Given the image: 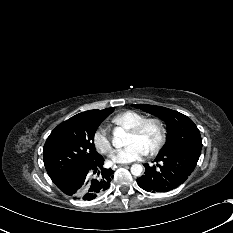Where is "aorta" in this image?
<instances>
[{"instance_id":"1","label":"aorta","mask_w":233,"mask_h":233,"mask_svg":"<svg viewBox=\"0 0 233 233\" xmlns=\"http://www.w3.org/2000/svg\"><path fill=\"white\" fill-rule=\"evenodd\" d=\"M114 138H113V146L116 147V148H119L121 146H123V141L122 139L125 137L126 133L125 131L120 128V127H117L115 130H114ZM143 171V167L142 165L140 164H133L131 166V173L134 175V176H140L141 173Z\"/></svg>"}]
</instances>
